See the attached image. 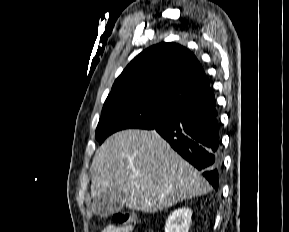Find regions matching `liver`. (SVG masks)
<instances>
[{"mask_svg":"<svg viewBox=\"0 0 289 232\" xmlns=\"http://www.w3.org/2000/svg\"><path fill=\"white\" fill-rule=\"evenodd\" d=\"M91 172L92 198L116 190L127 208L145 213L211 190L200 172L156 131L130 129L113 134L97 149Z\"/></svg>","mask_w":289,"mask_h":232,"instance_id":"6515ba94","label":"liver"}]
</instances>
